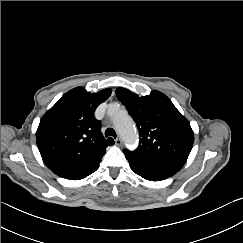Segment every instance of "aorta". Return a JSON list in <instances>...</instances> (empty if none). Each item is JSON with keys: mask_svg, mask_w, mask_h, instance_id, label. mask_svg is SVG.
<instances>
[{"mask_svg": "<svg viewBox=\"0 0 243 243\" xmlns=\"http://www.w3.org/2000/svg\"><path fill=\"white\" fill-rule=\"evenodd\" d=\"M112 120L126 145L134 147L136 136L133 123L128 118L119 117L118 114L112 115Z\"/></svg>", "mask_w": 243, "mask_h": 243, "instance_id": "obj_1", "label": "aorta"}]
</instances>
